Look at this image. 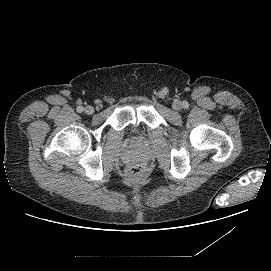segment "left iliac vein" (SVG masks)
Returning <instances> with one entry per match:
<instances>
[{"label": "left iliac vein", "instance_id": "4c4485c4", "mask_svg": "<svg viewBox=\"0 0 271 271\" xmlns=\"http://www.w3.org/2000/svg\"><path fill=\"white\" fill-rule=\"evenodd\" d=\"M172 108L174 109V110H180L181 108H182V104H181V102H179V101H174L173 102V104H172Z\"/></svg>", "mask_w": 271, "mask_h": 271}]
</instances>
